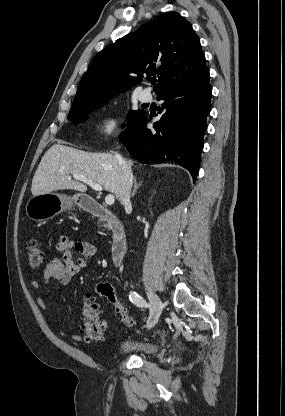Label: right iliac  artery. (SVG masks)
<instances>
[{"instance_id": "right-iliac-artery-1", "label": "right iliac artery", "mask_w": 285, "mask_h": 416, "mask_svg": "<svg viewBox=\"0 0 285 416\" xmlns=\"http://www.w3.org/2000/svg\"><path fill=\"white\" fill-rule=\"evenodd\" d=\"M129 299L132 303H134L138 307H147L148 304L139 294L134 291H131L129 294Z\"/></svg>"}]
</instances>
